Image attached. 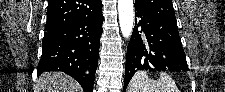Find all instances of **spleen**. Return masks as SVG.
<instances>
[{
	"instance_id": "1",
	"label": "spleen",
	"mask_w": 225,
	"mask_h": 92,
	"mask_svg": "<svg viewBox=\"0 0 225 92\" xmlns=\"http://www.w3.org/2000/svg\"><path fill=\"white\" fill-rule=\"evenodd\" d=\"M157 80L150 79L146 71H138L132 77L128 92H179L175 81L166 73L160 72Z\"/></svg>"
}]
</instances>
